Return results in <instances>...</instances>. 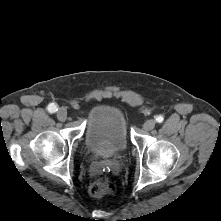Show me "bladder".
Wrapping results in <instances>:
<instances>
[{"label":"bladder","mask_w":221,"mask_h":221,"mask_svg":"<svg viewBox=\"0 0 221 221\" xmlns=\"http://www.w3.org/2000/svg\"><path fill=\"white\" fill-rule=\"evenodd\" d=\"M84 139L86 148L98 156L109 157L124 151L129 137L122 110L111 104L96 106L88 117Z\"/></svg>","instance_id":"obj_1"}]
</instances>
